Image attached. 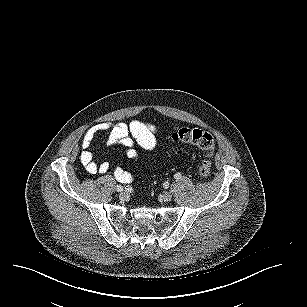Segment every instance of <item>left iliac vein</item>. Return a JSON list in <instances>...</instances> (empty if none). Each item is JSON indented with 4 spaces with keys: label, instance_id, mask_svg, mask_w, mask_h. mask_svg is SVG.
<instances>
[{
    "label": "left iliac vein",
    "instance_id": "left-iliac-vein-1",
    "mask_svg": "<svg viewBox=\"0 0 307 307\" xmlns=\"http://www.w3.org/2000/svg\"><path fill=\"white\" fill-rule=\"evenodd\" d=\"M162 197L165 201H169L172 198V193L169 191H165L163 192Z\"/></svg>",
    "mask_w": 307,
    "mask_h": 307
}]
</instances>
